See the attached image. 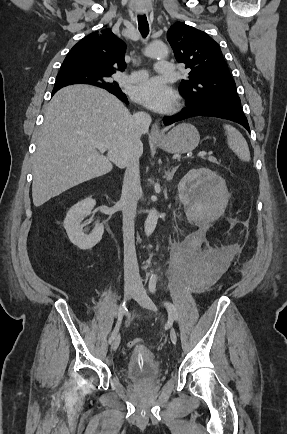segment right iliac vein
Segmentation results:
<instances>
[{
    "label": "right iliac vein",
    "mask_w": 287,
    "mask_h": 434,
    "mask_svg": "<svg viewBox=\"0 0 287 434\" xmlns=\"http://www.w3.org/2000/svg\"><path fill=\"white\" fill-rule=\"evenodd\" d=\"M134 282L128 281L125 285V297L129 299L134 292ZM120 344V335H116L111 343V350L115 351Z\"/></svg>",
    "instance_id": "1"
}]
</instances>
